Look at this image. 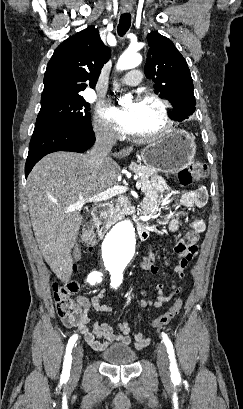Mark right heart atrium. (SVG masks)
Returning a JSON list of instances; mask_svg holds the SVG:
<instances>
[{"label": "right heart atrium", "mask_w": 243, "mask_h": 409, "mask_svg": "<svg viewBox=\"0 0 243 409\" xmlns=\"http://www.w3.org/2000/svg\"><path fill=\"white\" fill-rule=\"evenodd\" d=\"M93 131L95 137L102 142L111 143L117 138V135L112 127L99 115H97L94 119Z\"/></svg>", "instance_id": "right-heart-atrium-1"}]
</instances>
